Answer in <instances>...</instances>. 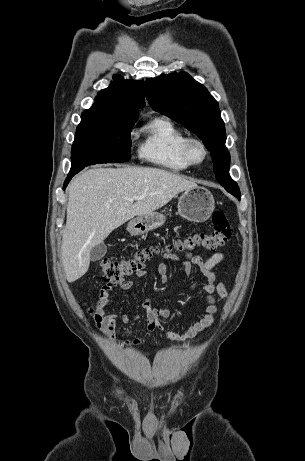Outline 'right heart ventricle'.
Here are the masks:
<instances>
[{
	"instance_id": "right-heart-ventricle-1",
	"label": "right heart ventricle",
	"mask_w": 305,
	"mask_h": 461,
	"mask_svg": "<svg viewBox=\"0 0 305 461\" xmlns=\"http://www.w3.org/2000/svg\"><path fill=\"white\" fill-rule=\"evenodd\" d=\"M143 140L139 155L155 165L171 171H182L191 166L183 153L187 134L173 121L156 117L141 130Z\"/></svg>"
}]
</instances>
